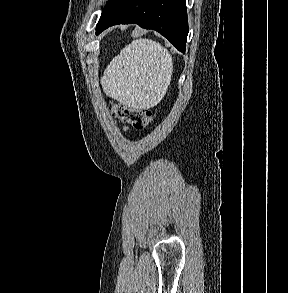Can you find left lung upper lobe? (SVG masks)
<instances>
[{
	"label": "left lung upper lobe",
	"instance_id": "5c2ea615",
	"mask_svg": "<svg viewBox=\"0 0 288 293\" xmlns=\"http://www.w3.org/2000/svg\"><path fill=\"white\" fill-rule=\"evenodd\" d=\"M121 0H109L102 11L100 20L109 14V12L120 2ZM99 20V21H100Z\"/></svg>",
	"mask_w": 288,
	"mask_h": 293
}]
</instances>
